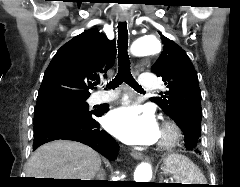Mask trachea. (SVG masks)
<instances>
[{
  "label": "trachea",
  "mask_w": 240,
  "mask_h": 187,
  "mask_svg": "<svg viewBox=\"0 0 240 187\" xmlns=\"http://www.w3.org/2000/svg\"><path fill=\"white\" fill-rule=\"evenodd\" d=\"M118 28V73L107 85L110 89H115L123 82L130 85L138 92H143L142 87L135 81L130 71V60L127 52L128 30L126 22H120Z\"/></svg>",
  "instance_id": "obj_1"
}]
</instances>
